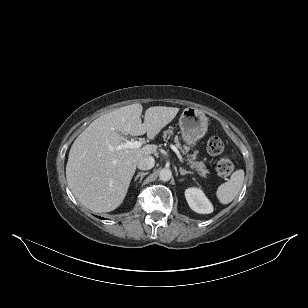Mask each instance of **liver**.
Returning a JSON list of instances; mask_svg holds the SVG:
<instances>
[{
	"instance_id": "obj_1",
	"label": "liver",
	"mask_w": 308,
	"mask_h": 308,
	"mask_svg": "<svg viewBox=\"0 0 308 308\" xmlns=\"http://www.w3.org/2000/svg\"><path fill=\"white\" fill-rule=\"evenodd\" d=\"M136 103L95 119L74 141L66 165L68 186L77 200L93 212H110L123 202L141 157L157 146L117 149L127 135L147 134L151 140L169 124L179 108L154 106L145 112Z\"/></svg>"
}]
</instances>
